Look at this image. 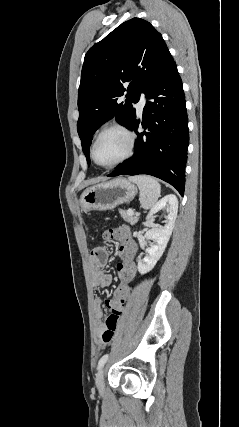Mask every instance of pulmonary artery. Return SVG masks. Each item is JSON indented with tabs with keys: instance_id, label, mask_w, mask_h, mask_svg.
<instances>
[{
	"instance_id": "e3ab8cb5",
	"label": "pulmonary artery",
	"mask_w": 239,
	"mask_h": 427,
	"mask_svg": "<svg viewBox=\"0 0 239 427\" xmlns=\"http://www.w3.org/2000/svg\"><path fill=\"white\" fill-rule=\"evenodd\" d=\"M146 104V99L144 96H142L139 100V102L137 103V108L138 110L141 112L143 110V108L145 107Z\"/></svg>"
}]
</instances>
